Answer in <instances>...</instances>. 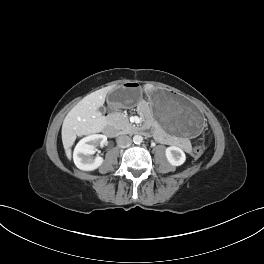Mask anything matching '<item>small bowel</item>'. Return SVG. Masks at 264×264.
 Here are the masks:
<instances>
[{
  "label": "small bowel",
  "instance_id": "c3829d8e",
  "mask_svg": "<svg viewBox=\"0 0 264 264\" xmlns=\"http://www.w3.org/2000/svg\"><path fill=\"white\" fill-rule=\"evenodd\" d=\"M156 136H157V138H159L161 141L168 142V143H172V142H173L172 140L167 139V138L164 136V134H163L160 130H157V131H156ZM179 144H180L185 150H189V149H190V145H189V143H188L186 140H182V141H180Z\"/></svg>",
  "mask_w": 264,
  "mask_h": 264
}]
</instances>
